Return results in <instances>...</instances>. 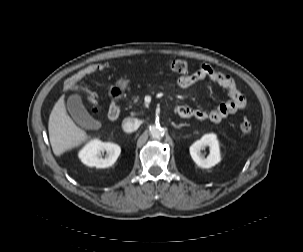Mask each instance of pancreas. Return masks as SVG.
<instances>
[{
  "instance_id": "cf45deb5",
  "label": "pancreas",
  "mask_w": 303,
  "mask_h": 252,
  "mask_svg": "<svg viewBox=\"0 0 303 252\" xmlns=\"http://www.w3.org/2000/svg\"><path fill=\"white\" fill-rule=\"evenodd\" d=\"M138 101H139V96H136V97L133 98L132 104H137ZM129 107H132V105H130Z\"/></svg>"
}]
</instances>
